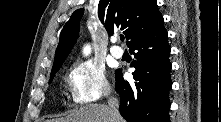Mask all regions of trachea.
I'll list each match as a JSON object with an SVG mask.
<instances>
[{
	"label": "trachea",
	"instance_id": "1",
	"mask_svg": "<svg viewBox=\"0 0 221 122\" xmlns=\"http://www.w3.org/2000/svg\"><path fill=\"white\" fill-rule=\"evenodd\" d=\"M120 40L124 41V36L123 35L120 36Z\"/></svg>",
	"mask_w": 221,
	"mask_h": 122
}]
</instances>
